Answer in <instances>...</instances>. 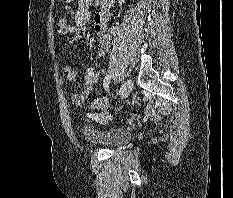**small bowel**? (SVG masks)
<instances>
[{"mask_svg": "<svg viewBox=\"0 0 233 198\" xmlns=\"http://www.w3.org/2000/svg\"><path fill=\"white\" fill-rule=\"evenodd\" d=\"M92 0H78V8L75 13L74 24H66L62 34H58L59 37L69 36L71 42H78L83 39L86 34V23L89 20V7ZM111 17L110 5H104L96 13L94 17V30L98 40V55L103 57L108 52L112 37L108 28V22ZM63 76L69 80L74 81L78 77V71L71 66H64L62 69ZM99 80V73L93 69H88L84 75V85L79 93L71 95V102L75 105H81L88 98L95 84ZM96 119H103L100 116H94Z\"/></svg>", "mask_w": 233, "mask_h": 198, "instance_id": "obj_1", "label": "small bowel"}]
</instances>
